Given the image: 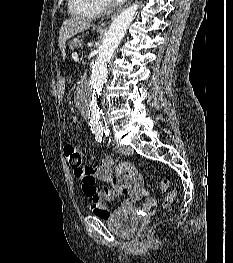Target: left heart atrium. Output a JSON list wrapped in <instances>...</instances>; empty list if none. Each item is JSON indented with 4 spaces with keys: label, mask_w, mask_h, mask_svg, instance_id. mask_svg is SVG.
<instances>
[{
    "label": "left heart atrium",
    "mask_w": 233,
    "mask_h": 263,
    "mask_svg": "<svg viewBox=\"0 0 233 263\" xmlns=\"http://www.w3.org/2000/svg\"><path fill=\"white\" fill-rule=\"evenodd\" d=\"M116 2H122V1H124V0H115Z\"/></svg>",
    "instance_id": "left-heart-atrium-1"
}]
</instances>
